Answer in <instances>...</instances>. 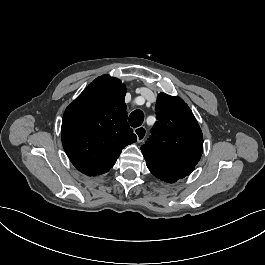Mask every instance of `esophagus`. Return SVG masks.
I'll list each match as a JSON object with an SVG mask.
<instances>
[{
    "mask_svg": "<svg viewBox=\"0 0 265 265\" xmlns=\"http://www.w3.org/2000/svg\"><path fill=\"white\" fill-rule=\"evenodd\" d=\"M134 133L137 136V141L142 142L147 134V129L144 126H139L134 129Z\"/></svg>",
    "mask_w": 265,
    "mask_h": 265,
    "instance_id": "1",
    "label": "esophagus"
}]
</instances>
